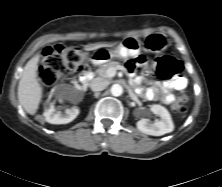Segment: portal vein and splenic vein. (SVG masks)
I'll return each instance as SVG.
<instances>
[{
    "label": "portal vein and splenic vein",
    "instance_id": "1",
    "mask_svg": "<svg viewBox=\"0 0 222 187\" xmlns=\"http://www.w3.org/2000/svg\"><path fill=\"white\" fill-rule=\"evenodd\" d=\"M115 73H116V69H114V68H111V69L108 70V75H109L110 77L115 76Z\"/></svg>",
    "mask_w": 222,
    "mask_h": 187
}]
</instances>
